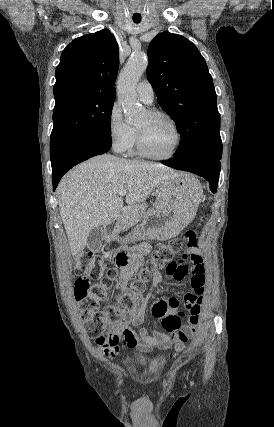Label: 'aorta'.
<instances>
[{"mask_svg":"<svg viewBox=\"0 0 274 427\" xmlns=\"http://www.w3.org/2000/svg\"><path fill=\"white\" fill-rule=\"evenodd\" d=\"M147 66V55L145 53H134L118 78V99L124 108L125 118L129 123L137 121L145 111L137 103L136 85Z\"/></svg>","mask_w":274,"mask_h":427,"instance_id":"obj_1","label":"aorta"}]
</instances>
